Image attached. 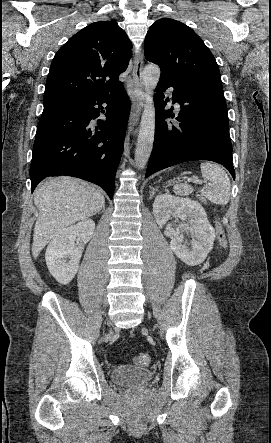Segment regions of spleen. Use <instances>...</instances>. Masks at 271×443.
<instances>
[{"instance_id":"obj_1","label":"spleen","mask_w":271,"mask_h":443,"mask_svg":"<svg viewBox=\"0 0 271 443\" xmlns=\"http://www.w3.org/2000/svg\"><path fill=\"white\" fill-rule=\"evenodd\" d=\"M200 168L203 180L208 182V186L200 190L201 194L213 204H221V206L228 204L231 186L226 172L217 164H209V162L201 164ZM173 190L176 196H190L193 192L192 186L188 184H176Z\"/></svg>"}]
</instances>
